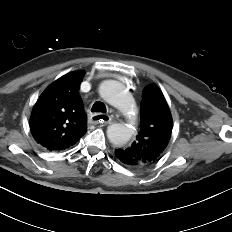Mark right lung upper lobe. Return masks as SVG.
<instances>
[{
  "label": "right lung upper lobe",
  "mask_w": 232,
  "mask_h": 232,
  "mask_svg": "<svg viewBox=\"0 0 232 232\" xmlns=\"http://www.w3.org/2000/svg\"><path fill=\"white\" fill-rule=\"evenodd\" d=\"M83 75V71H74L60 77L33 106L30 131L36 142L48 151L68 149L87 131V117L78 92Z\"/></svg>",
  "instance_id": "cb5924a9"
}]
</instances>
